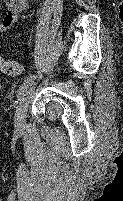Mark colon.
Masks as SVG:
<instances>
[{
	"mask_svg": "<svg viewBox=\"0 0 123 201\" xmlns=\"http://www.w3.org/2000/svg\"><path fill=\"white\" fill-rule=\"evenodd\" d=\"M0 71L6 75L17 76L21 72V66L15 60H5L0 57Z\"/></svg>",
	"mask_w": 123,
	"mask_h": 201,
	"instance_id": "1",
	"label": "colon"
}]
</instances>
